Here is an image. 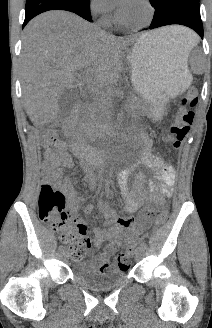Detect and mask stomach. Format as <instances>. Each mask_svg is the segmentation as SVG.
<instances>
[{"instance_id": "stomach-1", "label": "stomach", "mask_w": 212, "mask_h": 328, "mask_svg": "<svg viewBox=\"0 0 212 328\" xmlns=\"http://www.w3.org/2000/svg\"><path fill=\"white\" fill-rule=\"evenodd\" d=\"M130 64L133 86L149 102L154 117L161 114L166 96L183 92L192 80L182 48L167 40L141 37L133 47Z\"/></svg>"}]
</instances>
